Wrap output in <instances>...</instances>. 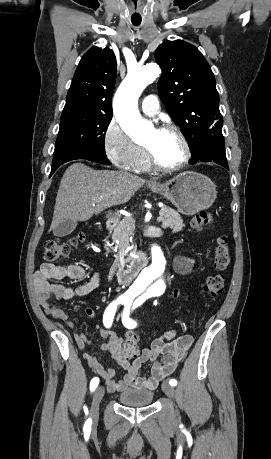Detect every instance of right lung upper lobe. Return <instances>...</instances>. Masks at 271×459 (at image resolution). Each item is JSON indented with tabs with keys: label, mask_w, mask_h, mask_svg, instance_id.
Wrapping results in <instances>:
<instances>
[{
	"label": "right lung upper lobe",
	"mask_w": 271,
	"mask_h": 459,
	"mask_svg": "<svg viewBox=\"0 0 271 459\" xmlns=\"http://www.w3.org/2000/svg\"><path fill=\"white\" fill-rule=\"evenodd\" d=\"M116 58L109 48L93 47L82 57L67 94L62 114H112Z\"/></svg>",
	"instance_id": "obj_1"
}]
</instances>
